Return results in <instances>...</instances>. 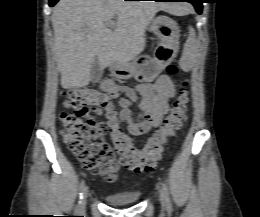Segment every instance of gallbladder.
I'll return each mask as SVG.
<instances>
[{"instance_id":"obj_1","label":"gallbladder","mask_w":260,"mask_h":217,"mask_svg":"<svg viewBox=\"0 0 260 217\" xmlns=\"http://www.w3.org/2000/svg\"><path fill=\"white\" fill-rule=\"evenodd\" d=\"M102 74V68L100 67L97 59H95L91 65L90 81L92 83H98L101 80Z\"/></svg>"}]
</instances>
